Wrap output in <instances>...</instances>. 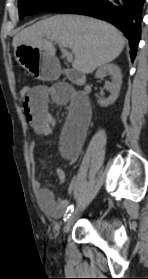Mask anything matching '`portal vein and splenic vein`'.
Here are the masks:
<instances>
[{
    "label": "portal vein and splenic vein",
    "instance_id": "18ae733b",
    "mask_svg": "<svg viewBox=\"0 0 148 279\" xmlns=\"http://www.w3.org/2000/svg\"><path fill=\"white\" fill-rule=\"evenodd\" d=\"M56 42L59 44L61 51H62L63 55L65 56L66 60L68 62H72L73 61L72 53H70L62 43H60L59 41H56Z\"/></svg>",
    "mask_w": 148,
    "mask_h": 279
}]
</instances>
